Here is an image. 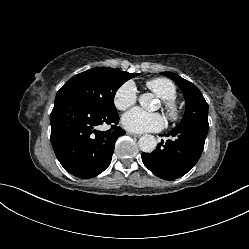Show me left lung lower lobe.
<instances>
[{"mask_svg": "<svg viewBox=\"0 0 249 249\" xmlns=\"http://www.w3.org/2000/svg\"><path fill=\"white\" fill-rule=\"evenodd\" d=\"M208 120H195L176 127L160 142L152 153H142L144 165L156 176L174 180L190 171L199 160L208 133Z\"/></svg>", "mask_w": 249, "mask_h": 249, "instance_id": "0a47b994", "label": "left lung lower lobe"}]
</instances>
